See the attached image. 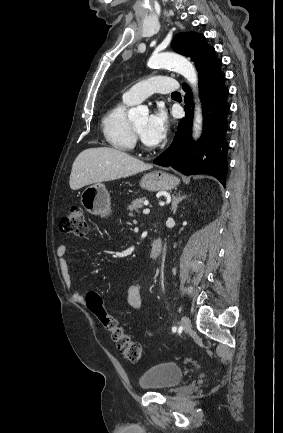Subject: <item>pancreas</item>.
Here are the masks:
<instances>
[{"label": "pancreas", "instance_id": "cf45deb5", "mask_svg": "<svg viewBox=\"0 0 283 433\" xmlns=\"http://www.w3.org/2000/svg\"><path fill=\"white\" fill-rule=\"evenodd\" d=\"M144 200H147L146 196L136 198V200H132V204H128V208L131 210V212H129V217H134V212H139V208L145 206Z\"/></svg>", "mask_w": 283, "mask_h": 433}]
</instances>
